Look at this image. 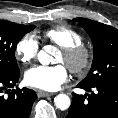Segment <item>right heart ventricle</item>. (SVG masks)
<instances>
[{"label": "right heart ventricle", "mask_w": 118, "mask_h": 118, "mask_svg": "<svg viewBox=\"0 0 118 118\" xmlns=\"http://www.w3.org/2000/svg\"><path fill=\"white\" fill-rule=\"evenodd\" d=\"M42 38L59 47L77 45L82 42L81 34L76 29L67 25H55L46 29L42 33Z\"/></svg>", "instance_id": "e07e8e85"}]
</instances>
